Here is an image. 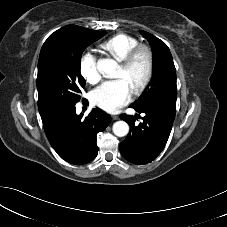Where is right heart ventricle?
<instances>
[{
	"instance_id": "e07e8e85",
	"label": "right heart ventricle",
	"mask_w": 227,
	"mask_h": 227,
	"mask_svg": "<svg viewBox=\"0 0 227 227\" xmlns=\"http://www.w3.org/2000/svg\"><path fill=\"white\" fill-rule=\"evenodd\" d=\"M137 44L138 39L136 37L126 33H118L103 42L100 45V49L107 56H110L117 61H121L128 51Z\"/></svg>"
}]
</instances>
